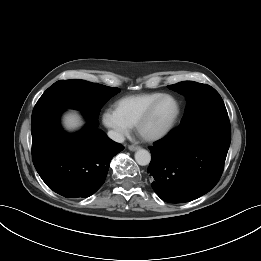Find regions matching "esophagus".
Instances as JSON below:
<instances>
[{
	"label": "esophagus",
	"mask_w": 261,
	"mask_h": 261,
	"mask_svg": "<svg viewBox=\"0 0 261 261\" xmlns=\"http://www.w3.org/2000/svg\"><path fill=\"white\" fill-rule=\"evenodd\" d=\"M128 149H129L130 151H136V150L140 149V147H139V146H136V145H129V146H128Z\"/></svg>",
	"instance_id": "34e87169"
}]
</instances>
